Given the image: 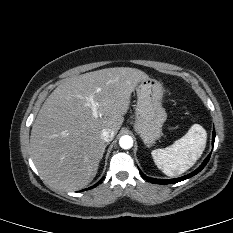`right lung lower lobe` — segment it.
Segmentation results:
<instances>
[{
  "label": "right lung lower lobe",
  "instance_id": "right-lung-lower-lobe-1",
  "mask_svg": "<svg viewBox=\"0 0 233 233\" xmlns=\"http://www.w3.org/2000/svg\"><path fill=\"white\" fill-rule=\"evenodd\" d=\"M101 181L102 180H100L97 184H95L94 186H92L91 188H94L95 186H97L98 184H100L101 183ZM85 190H87V189H85Z\"/></svg>",
  "mask_w": 233,
  "mask_h": 233
}]
</instances>
